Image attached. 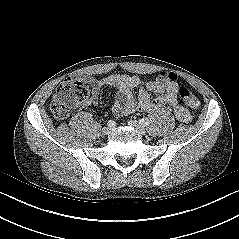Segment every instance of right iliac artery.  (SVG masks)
Wrapping results in <instances>:
<instances>
[{"instance_id": "right-iliac-artery-1", "label": "right iliac artery", "mask_w": 239, "mask_h": 239, "mask_svg": "<svg viewBox=\"0 0 239 239\" xmlns=\"http://www.w3.org/2000/svg\"><path fill=\"white\" fill-rule=\"evenodd\" d=\"M108 126H110V127H114L115 126V122L114 121H112V120H110L109 122H108Z\"/></svg>"}]
</instances>
